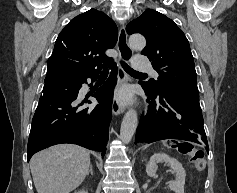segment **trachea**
<instances>
[{
	"label": "trachea",
	"instance_id": "1",
	"mask_svg": "<svg viewBox=\"0 0 237 193\" xmlns=\"http://www.w3.org/2000/svg\"><path fill=\"white\" fill-rule=\"evenodd\" d=\"M122 64V67L124 68V70L128 73V74H131V75H147L145 73H141V72H138V71H135L134 69H132L130 66H128L125 62H121ZM108 73V69L105 67L102 71V74H107Z\"/></svg>",
	"mask_w": 237,
	"mask_h": 193
}]
</instances>
